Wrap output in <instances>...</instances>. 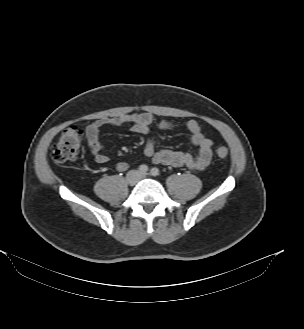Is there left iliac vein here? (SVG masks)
Returning <instances> with one entry per match:
<instances>
[{
	"instance_id": "left-iliac-vein-1",
	"label": "left iliac vein",
	"mask_w": 304,
	"mask_h": 329,
	"mask_svg": "<svg viewBox=\"0 0 304 329\" xmlns=\"http://www.w3.org/2000/svg\"><path fill=\"white\" fill-rule=\"evenodd\" d=\"M147 174H141L140 175V178L143 179V178H146Z\"/></svg>"
}]
</instances>
